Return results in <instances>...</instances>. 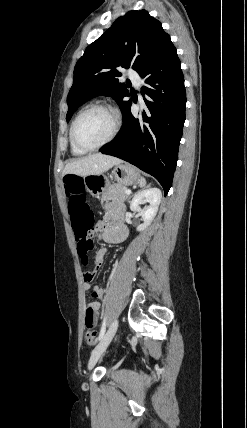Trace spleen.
Listing matches in <instances>:
<instances>
[{"instance_id":"spleen-1","label":"spleen","mask_w":247,"mask_h":428,"mask_svg":"<svg viewBox=\"0 0 247 428\" xmlns=\"http://www.w3.org/2000/svg\"><path fill=\"white\" fill-rule=\"evenodd\" d=\"M146 185V180H145V178H141V180H140V186L141 187H144Z\"/></svg>"}]
</instances>
